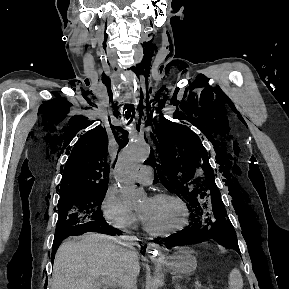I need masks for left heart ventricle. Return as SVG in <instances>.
I'll return each instance as SVG.
<instances>
[{
  "instance_id": "1",
  "label": "left heart ventricle",
  "mask_w": 289,
  "mask_h": 289,
  "mask_svg": "<svg viewBox=\"0 0 289 289\" xmlns=\"http://www.w3.org/2000/svg\"><path fill=\"white\" fill-rule=\"evenodd\" d=\"M143 220L155 231H168L181 226L184 211L173 200L145 199L138 209Z\"/></svg>"
}]
</instances>
